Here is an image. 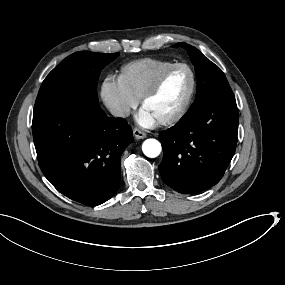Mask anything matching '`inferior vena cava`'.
<instances>
[{"label": "inferior vena cava", "instance_id": "obj_1", "mask_svg": "<svg viewBox=\"0 0 285 285\" xmlns=\"http://www.w3.org/2000/svg\"><path fill=\"white\" fill-rule=\"evenodd\" d=\"M109 111L115 117H127L130 114V108L124 105H112Z\"/></svg>", "mask_w": 285, "mask_h": 285}]
</instances>
